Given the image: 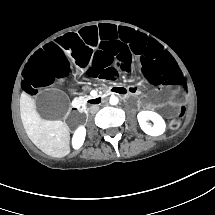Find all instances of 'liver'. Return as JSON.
<instances>
[{"instance_id": "1", "label": "liver", "mask_w": 215, "mask_h": 215, "mask_svg": "<svg viewBox=\"0 0 215 215\" xmlns=\"http://www.w3.org/2000/svg\"><path fill=\"white\" fill-rule=\"evenodd\" d=\"M20 117L28 138L44 153L62 157L70 152L68 126L62 121L42 119L25 93L20 98Z\"/></svg>"}]
</instances>
